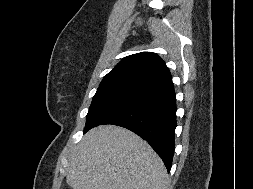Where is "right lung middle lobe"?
<instances>
[{
	"instance_id": "1",
	"label": "right lung middle lobe",
	"mask_w": 253,
	"mask_h": 189,
	"mask_svg": "<svg viewBox=\"0 0 253 189\" xmlns=\"http://www.w3.org/2000/svg\"><path fill=\"white\" fill-rule=\"evenodd\" d=\"M147 93L144 90L130 87L99 88L86 116L84 131L92 128L114 111L137 101Z\"/></svg>"
}]
</instances>
